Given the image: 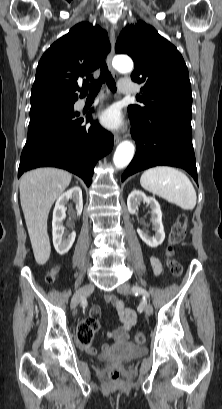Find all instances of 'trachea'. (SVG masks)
<instances>
[{
    "label": "trachea",
    "mask_w": 222,
    "mask_h": 409,
    "mask_svg": "<svg viewBox=\"0 0 222 409\" xmlns=\"http://www.w3.org/2000/svg\"><path fill=\"white\" fill-rule=\"evenodd\" d=\"M104 78L106 79V83H107V86L109 87V89L111 91H113V92L116 91V83H115L112 75L108 71V68H107L106 64L104 63L101 66V76H100V78L97 81H95L94 83H92V84H86L87 87L90 90V95H96L100 91V88L102 86Z\"/></svg>",
    "instance_id": "3493384b"
}]
</instances>
